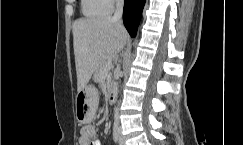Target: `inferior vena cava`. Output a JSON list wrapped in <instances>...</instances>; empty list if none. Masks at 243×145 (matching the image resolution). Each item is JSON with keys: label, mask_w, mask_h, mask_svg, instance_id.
<instances>
[{"label": "inferior vena cava", "mask_w": 243, "mask_h": 145, "mask_svg": "<svg viewBox=\"0 0 243 145\" xmlns=\"http://www.w3.org/2000/svg\"><path fill=\"white\" fill-rule=\"evenodd\" d=\"M123 0H116V10L112 17V20L118 23H122V14H123Z\"/></svg>", "instance_id": "602c4592"}]
</instances>
